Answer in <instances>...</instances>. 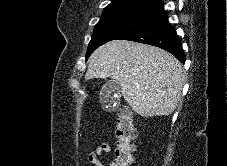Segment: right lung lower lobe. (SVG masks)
I'll return each instance as SVG.
<instances>
[{
  "mask_svg": "<svg viewBox=\"0 0 227 166\" xmlns=\"http://www.w3.org/2000/svg\"><path fill=\"white\" fill-rule=\"evenodd\" d=\"M116 39L153 45L170 52L182 63L185 62V55L180 40L176 31L168 22V17L163 6L147 19Z\"/></svg>",
  "mask_w": 227,
  "mask_h": 166,
  "instance_id": "obj_1",
  "label": "right lung lower lobe"
}]
</instances>
